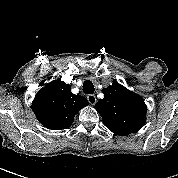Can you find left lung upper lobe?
<instances>
[{"label": "left lung upper lobe", "instance_id": "obj_1", "mask_svg": "<svg viewBox=\"0 0 178 178\" xmlns=\"http://www.w3.org/2000/svg\"><path fill=\"white\" fill-rule=\"evenodd\" d=\"M95 109L102 116L104 125L117 135L137 132L146 121L147 107L144 99L118 82L102 90Z\"/></svg>", "mask_w": 178, "mask_h": 178}]
</instances>
